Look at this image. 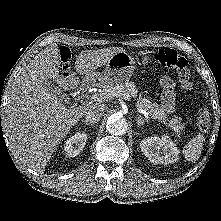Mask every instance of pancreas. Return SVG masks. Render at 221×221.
<instances>
[{
	"instance_id": "1",
	"label": "pancreas",
	"mask_w": 221,
	"mask_h": 221,
	"mask_svg": "<svg viewBox=\"0 0 221 221\" xmlns=\"http://www.w3.org/2000/svg\"><path fill=\"white\" fill-rule=\"evenodd\" d=\"M101 93L104 94L107 99L118 96L119 93H125L131 98H136L137 109L145 110L148 115H150L153 119H157L163 122L167 126V128H170L174 132H179L180 130H183L185 126L184 123L181 122L180 117L175 116L174 118H169L158 104L151 102L145 97L142 98L141 96H139L137 98L138 90L134 82L126 81L121 84H106L103 86Z\"/></svg>"
}]
</instances>
